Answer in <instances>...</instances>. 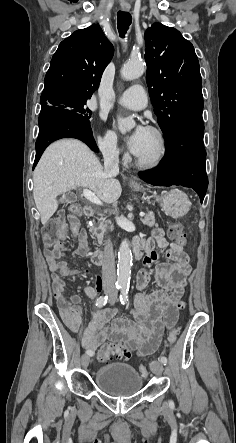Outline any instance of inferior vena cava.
Returning <instances> with one entry per match:
<instances>
[{"mask_svg":"<svg viewBox=\"0 0 236 443\" xmlns=\"http://www.w3.org/2000/svg\"><path fill=\"white\" fill-rule=\"evenodd\" d=\"M104 170L109 177L116 176L119 173V154L113 148H107L103 151ZM103 288L109 298V302L114 304L117 299V290L115 286V256L113 245L110 239L105 242L104 258L102 264Z\"/></svg>","mask_w":236,"mask_h":443,"instance_id":"1","label":"inferior vena cava"}]
</instances>
